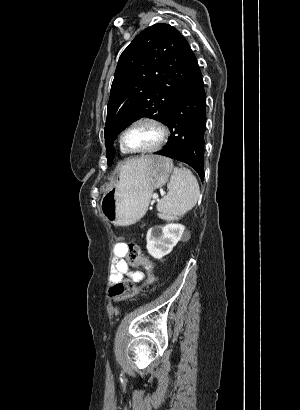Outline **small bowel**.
<instances>
[{
    "mask_svg": "<svg viewBox=\"0 0 300 410\" xmlns=\"http://www.w3.org/2000/svg\"><path fill=\"white\" fill-rule=\"evenodd\" d=\"M125 252L126 244L117 243L114 246L110 281L116 282L121 279H127L135 283L140 282L145 278V273L140 270H131L130 265L125 260Z\"/></svg>",
    "mask_w": 300,
    "mask_h": 410,
    "instance_id": "c3829d8e",
    "label": "small bowel"
}]
</instances>
